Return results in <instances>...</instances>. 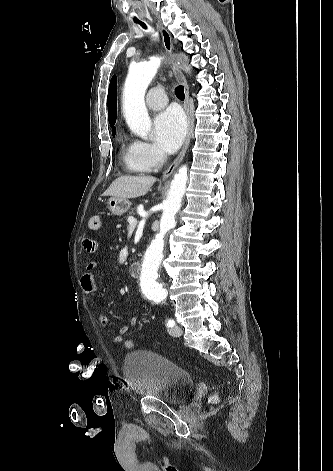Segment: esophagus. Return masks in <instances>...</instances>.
Returning a JSON list of instances; mask_svg holds the SVG:
<instances>
[{
    "instance_id": "1",
    "label": "esophagus",
    "mask_w": 333,
    "mask_h": 471,
    "mask_svg": "<svg viewBox=\"0 0 333 471\" xmlns=\"http://www.w3.org/2000/svg\"><path fill=\"white\" fill-rule=\"evenodd\" d=\"M157 27L161 33L165 50L169 55H171L173 52V43H172L171 36L169 32L165 28H163L161 25L158 24ZM173 72L178 82H180L184 86V92H185L184 109H185L187 119H188V130H187V136H186L184 145L179 155L177 156V158L168 167V169L163 173V176H162L163 180L168 179L172 175L174 170L177 168V166L180 164V162L183 160V157L185 156L189 143H190V137H191V131H192V118H191V114L189 110V87L185 79V76L183 75L180 69L173 66Z\"/></svg>"
}]
</instances>
